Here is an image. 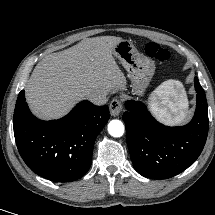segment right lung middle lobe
<instances>
[{"label":"right lung middle lobe","instance_id":"dd1d6c3e","mask_svg":"<svg viewBox=\"0 0 215 215\" xmlns=\"http://www.w3.org/2000/svg\"><path fill=\"white\" fill-rule=\"evenodd\" d=\"M16 110H18V105H16V107H15V111H16Z\"/></svg>","mask_w":215,"mask_h":215}]
</instances>
